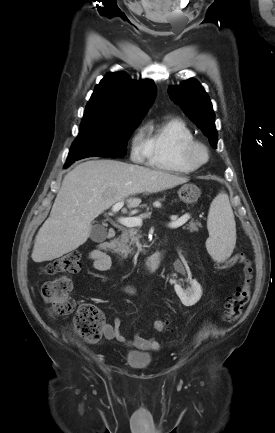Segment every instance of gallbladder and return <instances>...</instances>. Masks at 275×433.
Returning <instances> with one entry per match:
<instances>
[{
  "mask_svg": "<svg viewBox=\"0 0 275 433\" xmlns=\"http://www.w3.org/2000/svg\"><path fill=\"white\" fill-rule=\"evenodd\" d=\"M105 228L100 225H94L91 228L90 236L93 240H99L103 238Z\"/></svg>",
  "mask_w": 275,
  "mask_h": 433,
  "instance_id": "obj_1",
  "label": "gallbladder"
}]
</instances>
